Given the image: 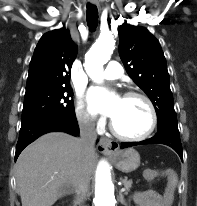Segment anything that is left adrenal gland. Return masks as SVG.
I'll return each instance as SVG.
<instances>
[{
    "label": "left adrenal gland",
    "mask_w": 197,
    "mask_h": 206,
    "mask_svg": "<svg viewBox=\"0 0 197 206\" xmlns=\"http://www.w3.org/2000/svg\"><path fill=\"white\" fill-rule=\"evenodd\" d=\"M119 201L121 204L126 206L125 200H124V195L122 194V192H119Z\"/></svg>",
    "instance_id": "obj_1"
}]
</instances>
